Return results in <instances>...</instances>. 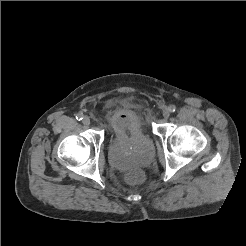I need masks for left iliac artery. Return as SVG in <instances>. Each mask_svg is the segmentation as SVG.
Wrapping results in <instances>:
<instances>
[{
  "instance_id": "left-iliac-artery-1",
  "label": "left iliac artery",
  "mask_w": 246,
  "mask_h": 246,
  "mask_svg": "<svg viewBox=\"0 0 246 246\" xmlns=\"http://www.w3.org/2000/svg\"><path fill=\"white\" fill-rule=\"evenodd\" d=\"M169 111L170 112H175L176 111V106L175 105H170L169 106Z\"/></svg>"
}]
</instances>
